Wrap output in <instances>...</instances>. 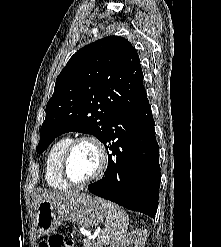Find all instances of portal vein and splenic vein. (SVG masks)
<instances>
[{"instance_id":"obj_1","label":"portal vein and splenic vein","mask_w":221,"mask_h":247,"mask_svg":"<svg viewBox=\"0 0 221 247\" xmlns=\"http://www.w3.org/2000/svg\"><path fill=\"white\" fill-rule=\"evenodd\" d=\"M86 236H87L88 238H90L91 232H90V231H87V232H86ZM94 237H96V236H94Z\"/></svg>"}]
</instances>
